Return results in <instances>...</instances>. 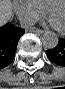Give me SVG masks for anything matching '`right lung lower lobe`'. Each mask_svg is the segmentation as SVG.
<instances>
[{
	"mask_svg": "<svg viewBox=\"0 0 65 89\" xmlns=\"http://www.w3.org/2000/svg\"><path fill=\"white\" fill-rule=\"evenodd\" d=\"M24 33V29L10 23L0 27V70L13 61L18 41Z\"/></svg>",
	"mask_w": 65,
	"mask_h": 89,
	"instance_id": "obj_1",
	"label": "right lung lower lobe"
}]
</instances>
